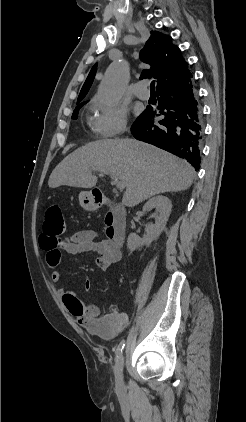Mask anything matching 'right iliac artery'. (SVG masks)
Here are the masks:
<instances>
[{"instance_id":"82829eb1","label":"right iliac artery","mask_w":246,"mask_h":422,"mask_svg":"<svg viewBox=\"0 0 246 422\" xmlns=\"http://www.w3.org/2000/svg\"><path fill=\"white\" fill-rule=\"evenodd\" d=\"M124 346H125V341H124V340H122V341L119 343L118 348H117V350H116V359H118V358L120 357V355H121V353H122V351H123V349H124Z\"/></svg>"}]
</instances>
